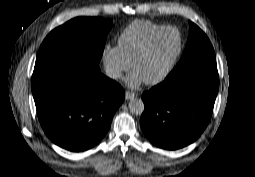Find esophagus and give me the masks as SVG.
<instances>
[{"instance_id":"obj_1","label":"esophagus","mask_w":255,"mask_h":177,"mask_svg":"<svg viewBox=\"0 0 255 177\" xmlns=\"http://www.w3.org/2000/svg\"><path fill=\"white\" fill-rule=\"evenodd\" d=\"M134 97H136V94H135V93L130 92V91H126V93H125V99H126V100H130V99H132V98H134Z\"/></svg>"}]
</instances>
